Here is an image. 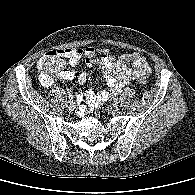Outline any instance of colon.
<instances>
[{
	"label": "colon",
	"mask_w": 195,
	"mask_h": 195,
	"mask_svg": "<svg viewBox=\"0 0 195 195\" xmlns=\"http://www.w3.org/2000/svg\"><path fill=\"white\" fill-rule=\"evenodd\" d=\"M65 57L58 51H51L44 54L38 62L41 82L45 85L52 83L54 78L61 75L66 70ZM139 83L145 85L148 83L146 76H141Z\"/></svg>",
	"instance_id": "colon-1"
}]
</instances>
